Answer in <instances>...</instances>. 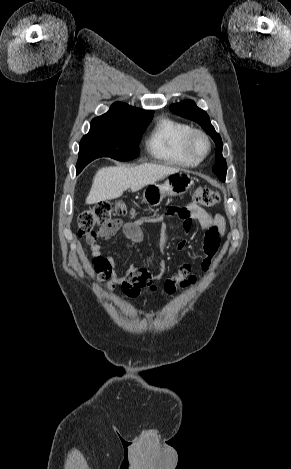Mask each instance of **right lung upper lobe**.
Segmentation results:
<instances>
[{
  "label": "right lung upper lobe",
  "instance_id": "cb5924a9",
  "mask_svg": "<svg viewBox=\"0 0 291 469\" xmlns=\"http://www.w3.org/2000/svg\"><path fill=\"white\" fill-rule=\"evenodd\" d=\"M153 111L137 109L122 102L114 103L109 111L94 119L135 120L150 117Z\"/></svg>",
  "mask_w": 291,
  "mask_h": 469
}]
</instances>
